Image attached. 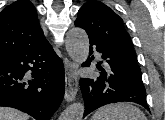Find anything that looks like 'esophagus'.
<instances>
[{
	"label": "esophagus",
	"instance_id": "34e87169",
	"mask_svg": "<svg viewBox=\"0 0 165 120\" xmlns=\"http://www.w3.org/2000/svg\"><path fill=\"white\" fill-rule=\"evenodd\" d=\"M65 66V100L71 102L78 91L77 65L69 59H64Z\"/></svg>",
	"mask_w": 165,
	"mask_h": 120
}]
</instances>
